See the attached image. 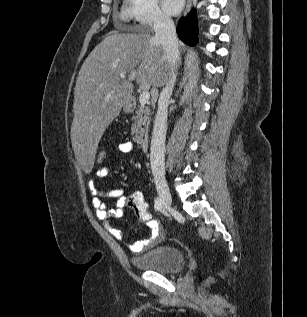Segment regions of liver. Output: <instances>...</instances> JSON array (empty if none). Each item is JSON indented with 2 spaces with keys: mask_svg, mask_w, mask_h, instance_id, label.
I'll list each match as a JSON object with an SVG mask.
<instances>
[{
  "mask_svg": "<svg viewBox=\"0 0 307 317\" xmlns=\"http://www.w3.org/2000/svg\"><path fill=\"white\" fill-rule=\"evenodd\" d=\"M121 73L127 79H121ZM168 74L163 47L150 31H114L93 49L77 77L71 127L72 145L84 175L92 174L98 143L130 99L132 81L142 88L161 87Z\"/></svg>",
  "mask_w": 307,
  "mask_h": 317,
  "instance_id": "1",
  "label": "liver"
}]
</instances>
